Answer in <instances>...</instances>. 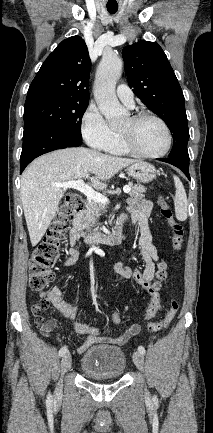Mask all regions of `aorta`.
Instances as JSON below:
<instances>
[{
	"mask_svg": "<svg viewBox=\"0 0 213 433\" xmlns=\"http://www.w3.org/2000/svg\"><path fill=\"white\" fill-rule=\"evenodd\" d=\"M122 67L123 62L117 55L104 53L96 73L94 97L98 108L112 127L118 126L126 115V110L120 105L115 93Z\"/></svg>",
	"mask_w": 213,
	"mask_h": 433,
	"instance_id": "aorta-1",
	"label": "aorta"
}]
</instances>
